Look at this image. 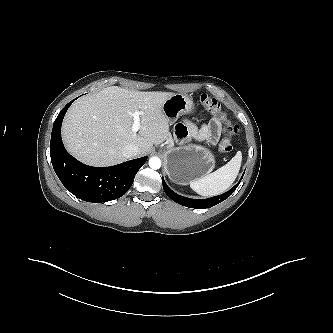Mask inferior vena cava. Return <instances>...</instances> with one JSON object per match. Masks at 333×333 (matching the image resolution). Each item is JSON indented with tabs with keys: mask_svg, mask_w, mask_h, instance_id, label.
<instances>
[{
	"mask_svg": "<svg viewBox=\"0 0 333 333\" xmlns=\"http://www.w3.org/2000/svg\"><path fill=\"white\" fill-rule=\"evenodd\" d=\"M140 149L135 144H128L122 148V154L126 158H131L139 155Z\"/></svg>",
	"mask_w": 333,
	"mask_h": 333,
	"instance_id": "602c4592",
	"label": "inferior vena cava"
}]
</instances>
